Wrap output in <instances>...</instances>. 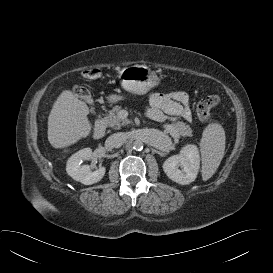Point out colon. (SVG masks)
Returning <instances> with one entry per match:
<instances>
[{
	"label": "colon",
	"mask_w": 273,
	"mask_h": 273,
	"mask_svg": "<svg viewBox=\"0 0 273 273\" xmlns=\"http://www.w3.org/2000/svg\"><path fill=\"white\" fill-rule=\"evenodd\" d=\"M82 75L87 80H96L100 78L101 72L96 68H88L82 72ZM73 93L75 96L90 101L91 100V92L90 90L83 85H75L73 87ZM220 102V98L217 95H209L202 98L196 107V112L200 120L203 122H208L211 118L210 111L213 107L218 105Z\"/></svg>",
	"instance_id": "5ec220e1"
}]
</instances>
